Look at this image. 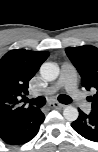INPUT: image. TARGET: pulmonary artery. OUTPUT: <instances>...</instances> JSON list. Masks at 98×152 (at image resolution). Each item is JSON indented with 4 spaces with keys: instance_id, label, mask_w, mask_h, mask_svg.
Listing matches in <instances>:
<instances>
[{
    "instance_id": "e3ab8cb5",
    "label": "pulmonary artery",
    "mask_w": 98,
    "mask_h": 152,
    "mask_svg": "<svg viewBox=\"0 0 98 152\" xmlns=\"http://www.w3.org/2000/svg\"><path fill=\"white\" fill-rule=\"evenodd\" d=\"M60 88H64L69 94L70 98L80 107L86 110L89 109L90 104L87 102L83 93L78 89L75 72L69 64L62 65L58 81L53 86L48 87L44 93L51 95Z\"/></svg>"
}]
</instances>
